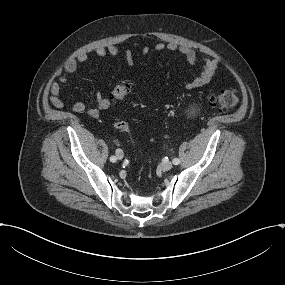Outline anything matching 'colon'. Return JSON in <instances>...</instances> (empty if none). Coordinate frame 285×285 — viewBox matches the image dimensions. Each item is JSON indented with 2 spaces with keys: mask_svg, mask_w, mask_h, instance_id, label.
<instances>
[{
  "mask_svg": "<svg viewBox=\"0 0 285 285\" xmlns=\"http://www.w3.org/2000/svg\"><path fill=\"white\" fill-rule=\"evenodd\" d=\"M131 83L122 81L111 92L110 100L113 103L123 102L126 100L131 91ZM238 96L234 90H222L211 99V106L219 113L228 112L236 107ZM114 127L123 133L129 132L128 124L125 121L119 120L114 123Z\"/></svg>",
  "mask_w": 285,
  "mask_h": 285,
  "instance_id": "colon-1",
  "label": "colon"
}]
</instances>
